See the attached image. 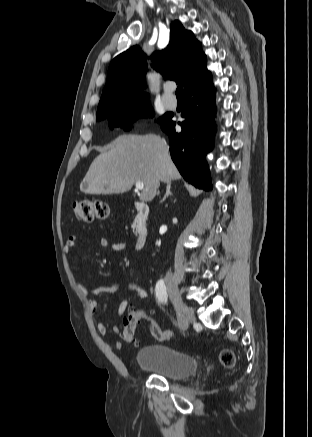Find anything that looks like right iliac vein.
<instances>
[{
  "mask_svg": "<svg viewBox=\"0 0 312 437\" xmlns=\"http://www.w3.org/2000/svg\"><path fill=\"white\" fill-rule=\"evenodd\" d=\"M169 295L176 307V309L182 313V317L179 319V325L181 329L185 330L188 326V320L194 318L192 310L184 303L177 285L169 281Z\"/></svg>",
  "mask_w": 312,
  "mask_h": 437,
  "instance_id": "obj_1",
  "label": "right iliac vein"
}]
</instances>
